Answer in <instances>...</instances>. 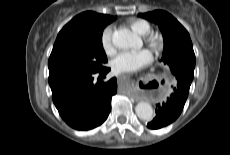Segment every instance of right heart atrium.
I'll return each mask as SVG.
<instances>
[{"label":"right heart atrium","instance_id":"d8ad5b80","mask_svg":"<svg viewBox=\"0 0 230 155\" xmlns=\"http://www.w3.org/2000/svg\"><path fill=\"white\" fill-rule=\"evenodd\" d=\"M101 44L103 47V50L107 53V54H111L114 49V42H113V29L111 27H107L101 36Z\"/></svg>","mask_w":230,"mask_h":155}]
</instances>
